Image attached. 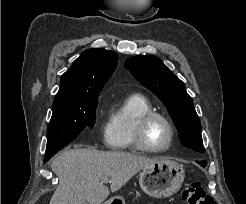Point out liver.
I'll list each match as a JSON object with an SVG mask.
<instances>
[{"label":"liver","instance_id":"1","mask_svg":"<svg viewBox=\"0 0 246 204\" xmlns=\"http://www.w3.org/2000/svg\"><path fill=\"white\" fill-rule=\"evenodd\" d=\"M157 161L122 151L66 150L51 163L59 185L49 204H102L110 190L121 189L136 173ZM104 178L111 180L110 190L103 184Z\"/></svg>","mask_w":246,"mask_h":204}]
</instances>
